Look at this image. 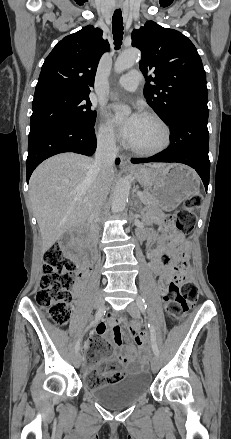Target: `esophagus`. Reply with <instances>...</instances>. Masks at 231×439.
<instances>
[{"mask_svg": "<svg viewBox=\"0 0 231 439\" xmlns=\"http://www.w3.org/2000/svg\"><path fill=\"white\" fill-rule=\"evenodd\" d=\"M120 167L121 169H131L132 168V164L130 162V158L128 156L122 155L120 157Z\"/></svg>", "mask_w": 231, "mask_h": 439, "instance_id": "esophagus-1", "label": "esophagus"}]
</instances>
